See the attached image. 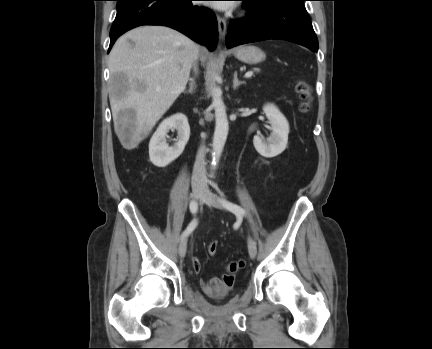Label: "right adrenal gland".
<instances>
[{
    "label": "right adrenal gland",
    "mask_w": 432,
    "mask_h": 349,
    "mask_svg": "<svg viewBox=\"0 0 432 349\" xmlns=\"http://www.w3.org/2000/svg\"><path fill=\"white\" fill-rule=\"evenodd\" d=\"M190 83H189V89L187 91H184V93H193L194 90L196 89V84H195V80L194 78H190L189 79Z\"/></svg>",
    "instance_id": "right-adrenal-gland-1"
}]
</instances>
